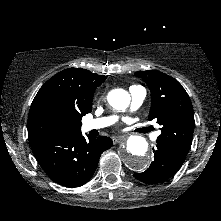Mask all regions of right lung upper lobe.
<instances>
[{
    "label": "right lung upper lobe",
    "instance_id": "right-lung-upper-lobe-1",
    "mask_svg": "<svg viewBox=\"0 0 221 221\" xmlns=\"http://www.w3.org/2000/svg\"><path fill=\"white\" fill-rule=\"evenodd\" d=\"M107 76L68 68L51 77L38 91L28 115L29 142L41 140L37 131L50 117L59 118L68 133L81 132V119L92 111L96 88Z\"/></svg>",
    "mask_w": 221,
    "mask_h": 221
}]
</instances>
